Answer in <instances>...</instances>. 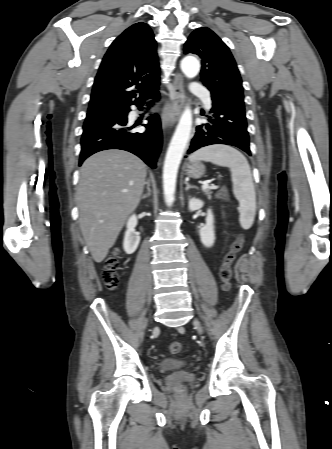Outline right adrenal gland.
Returning <instances> with one entry per match:
<instances>
[{
	"mask_svg": "<svg viewBox=\"0 0 332 449\" xmlns=\"http://www.w3.org/2000/svg\"><path fill=\"white\" fill-rule=\"evenodd\" d=\"M146 185H147V193L144 194V195L141 197L142 199H145V198L149 197L150 194H151L150 180H147Z\"/></svg>",
	"mask_w": 332,
	"mask_h": 449,
	"instance_id": "right-adrenal-gland-1",
	"label": "right adrenal gland"
}]
</instances>
